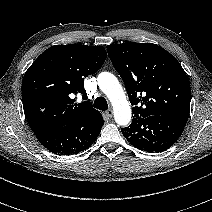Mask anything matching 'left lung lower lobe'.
Wrapping results in <instances>:
<instances>
[{"label": "left lung lower lobe", "instance_id": "left-lung-lower-lobe-1", "mask_svg": "<svg viewBox=\"0 0 212 212\" xmlns=\"http://www.w3.org/2000/svg\"><path fill=\"white\" fill-rule=\"evenodd\" d=\"M186 123L185 119L169 116L134 117L121 131L134 147L150 153L163 152L178 140Z\"/></svg>", "mask_w": 212, "mask_h": 212}]
</instances>
